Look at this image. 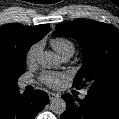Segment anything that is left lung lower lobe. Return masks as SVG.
Here are the masks:
<instances>
[{
    "instance_id": "0a47b994",
    "label": "left lung lower lobe",
    "mask_w": 119,
    "mask_h": 119,
    "mask_svg": "<svg viewBox=\"0 0 119 119\" xmlns=\"http://www.w3.org/2000/svg\"><path fill=\"white\" fill-rule=\"evenodd\" d=\"M67 108L61 119H119V95L88 91L83 100L62 95Z\"/></svg>"
}]
</instances>
